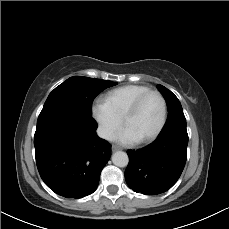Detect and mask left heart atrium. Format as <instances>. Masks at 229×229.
Instances as JSON below:
<instances>
[{
    "instance_id": "obj_1",
    "label": "left heart atrium",
    "mask_w": 229,
    "mask_h": 229,
    "mask_svg": "<svg viewBox=\"0 0 229 229\" xmlns=\"http://www.w3.org/2000/svg\"><path fill=\"white\" fill-rule=\"evenodd\" d=\"M117 138L122 144L125 145H131L138 141V139L131 137L125 129L118 134Z\"/></svg>"
}]
</instances>
